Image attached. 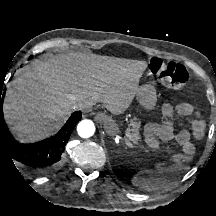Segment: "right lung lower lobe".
<instances>
[{
    "label": "right lung lower lobe",
    "instance_id": "98d812e1",
    "mask_svg": "<svg viewBox=\"0 0 216 216\" xmlns=\"http://www.w3.org/2000/svg\"><path fill=\"white\" fill-rule=\"evenodd\" d=\"M5 92L0 91V156L11 161L19 162L30 170L47 174L55 170L61 163L65 145L70 135L81 120L80 111L74 112L61 130L53 137L44 140L23 144L17 142L9 133L3 115V101ZM14 163V162H13Z\"/></svg>",
    "mask_w": 216,
    "mask_h": 216
}]
</instances>
